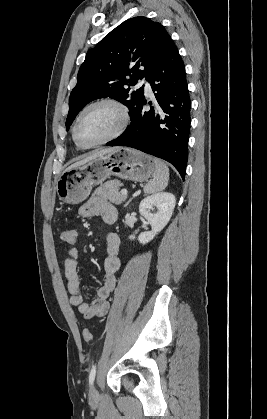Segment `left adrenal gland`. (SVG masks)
Masks as SVG:
<instances>
[{
  "label": "left adrenal gland",
  "mask_w": 267,
  "mask_h": 419,
  "mask_svg": "<svg viewBox=\"0 0 267 419\" xmlns=\"http://www.w3.org/2000/svg\"><path fill=\"white\" fill-rule=\"evenodd\" d=\"M132 198L130 200H128V202L125 204V207L128 206V204L131 202Z\"/></svg>",
  "instance_id": "left-adrenal-gland-1"
}]
</instances>
